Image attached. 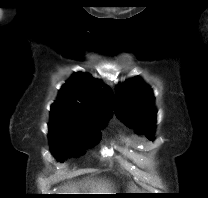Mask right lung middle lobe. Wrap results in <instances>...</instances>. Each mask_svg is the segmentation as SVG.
I'll return each instance as SVG.
<instances>
[{"label": "right lung middle lobe", "mask_w": 208, "mask_h": 198, "mask_svg": "<svg viewBox=\"0 0 208 198\" xmlns=\"http://www.w3.org/2000/svg\"><path fill=\"white\" fill-rule=\"evenodd\" d=\"M109 119L94 121L73 116H51L49 141L51 152L57 159L82 155L95 146L101 137L100 130Z\"/></svg>", "instance_id": "1"}]
</instances>
